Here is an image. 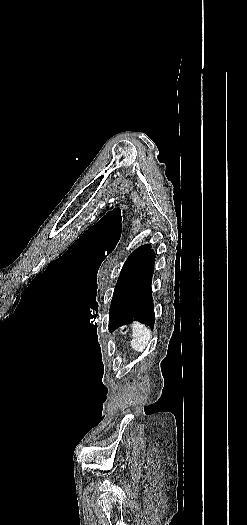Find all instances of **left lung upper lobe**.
Wrapping results in <instances>:
<instances>
[{
    "label": "left lung upper lobe",
    "instance_id": "obj_1",
    "mask_svg": "<svg viewBox=\"0 0 247 525\" xmlns=\"http://www.w3.org/2000/svg\"><path fill=\"white\" fill-rule=\"evenodd\" d=\"M154 259L155 253L148 244L142 245L128 256L116 283L111 306L150 268Z\"/></svg>",
    "mask_w": 247,
    "mask_h": 525
}]
</instances>
